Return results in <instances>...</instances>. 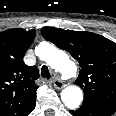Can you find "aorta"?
Instances as JSON below:
<instances>
[{"label":"aorta","instance_id":"1","mask_svg":"<svg viewBox=\"0 0 116 116\" xmlns=\"http://www.w3.org/2000/svg\"><path fill=\"white\" fill-rule=\"evenodd\" d=\"M35 54L63 77L69 78L76 73L75 63L69 59L68 55L56 50L49 43H41L35 48ZM61 99L67 108L74 110L83 101L82 90L75 85L67 86L61 92Z\"/></svg>","mask_w":116,"mask_h":116}]
</instances>
